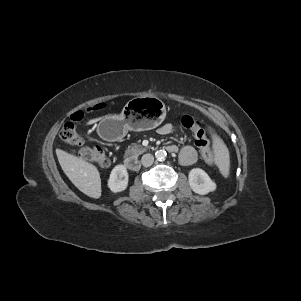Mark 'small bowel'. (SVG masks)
<instances>
[{
    "instance_id": "small-bowel-1",
    "label": "small bowel",
    "mask_w": 301,
    "mask_h": 301,
    "mask_svg": "<svg viewBox=\"0 0 301 301\" xmlns=\"http://www.w3.org/2000/svg\"><path fill=\"white\" fill-rule=\"evenodd\" d=\"M158 134L166 136L175 132V127L172 124H165L158 129ZM199 158L197 149L193 146H184L180 149L178 159L182 164L190 165L195 163Z\"/></svg>"
}]
</instances>
